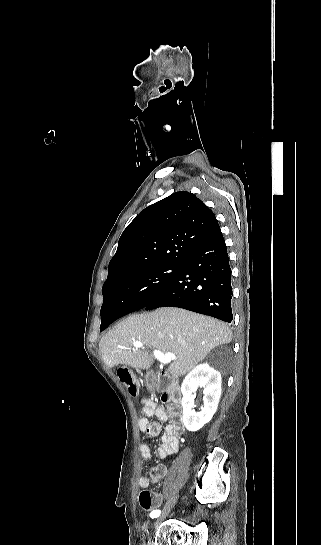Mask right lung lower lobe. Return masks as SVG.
<instances>
[{"mask_svg": "<svg viewBox=\"0 0 321 545\" xmlns=\"http://www.w3.org/2000/svg\"><path fill=\"white\" fill-rule=\"evenodd\" d=\"M231 299L229 257L219 229L186 259L172 281L144 307L115 298L102 305L100 314L105 325L101 331L128 313L164 306L180 307L231 322Z\"/></svg>", "mask_w": 321, "mask_h": 545, "instance_id": "obj_1", "label": "right lung lower lobe"}]
</instances>
